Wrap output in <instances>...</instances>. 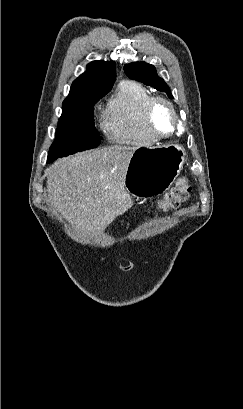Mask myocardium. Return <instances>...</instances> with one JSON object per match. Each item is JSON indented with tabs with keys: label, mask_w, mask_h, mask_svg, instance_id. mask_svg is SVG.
<instances>
[{
	"label": "myocardium",
	"mask_w": 243,
	"mask_h": 409,
	"mask_svg": "<svg viewBox=\"0 0 243 409\" xmlns=\"http://www.w3.org/2000/svg\"><path fill=\"white\" fill-rule=\"evenodd\" d=\"M159 104L166 105L169 108V110H170V112H171V114L173 116V119H174L173 129L170 132L165 133V134L159 133L155 129L154 124H153V114H154V111H155L156 107ZM144 121H145V125H146V128H147L148 132L156 140L166 139V138H169V137L173 136L175 134V132L177 131L179 123H180L178 113H177L173 103L171 101H169L168 99H166L164 97H160V96H154L147 102V104L145 106V110H144Z\"/></svg>",
	"instance_id": "obj_1"
}]
</instances>
